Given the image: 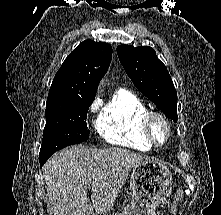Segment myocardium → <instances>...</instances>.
<instances>
[{
	"mask_svg": "<svg viewBox=\"0 0 221 215\" xmlns=\"http://www.w3.org/2000/svg\"><path fill=\"white\" fill-rule=\"evenodd\" d=\"M156 123H161L165 128V137L162 141L158 140L154 134V125ZM142 129L149 142L156 147L165 145L171 136V125L168 119L157 111H147L142 119Z\"/></svg>",
	"mask_w": 221,
	"mask_h": 215,
	"instance_id": "1",
	"label": "myocardium"
}]
</instances>
